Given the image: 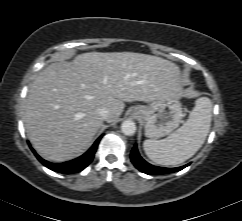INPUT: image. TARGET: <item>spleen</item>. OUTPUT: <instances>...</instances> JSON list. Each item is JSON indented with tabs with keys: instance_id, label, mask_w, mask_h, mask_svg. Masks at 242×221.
I'll return each instance as SVG.
<instances>
[{
	"instance_id": "spleen-1",
	"label": "spleen",
	"mask_w": 242,
	"mask_h": 221,
	"mask_svg": "<svg viewBox=\"0 0 242 221\" xmlns=\"http://www.w3.org/2000/svg\"><path fill=\"white\" fill-rule=\"evenodd\" d=\"M211 117V100L207 97L198 98L187 121L174 133L162 140L144 141L143 149L146 155L160 165L183 163L202 147L210 130Z\"/></svg>"
}]
</instances>
